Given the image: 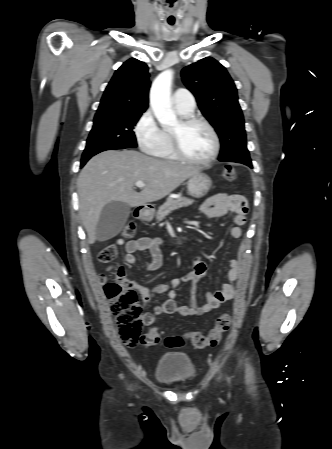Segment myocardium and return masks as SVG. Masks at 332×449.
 <instances>
[{"mask_svg":"<svg viewBox=\"0 0 332 449\" xmlns=\"http://www.w3.org/2000/svg\"><path fill=\"white\" fill-rule=\"evenodd\" d=\"M181 126H189L192 124H201L207 128L209 131L212 140H213V150L210 156L205 159H195L188 156L182 149L180 140L177 133L170 132L171 146L175 156L187 163L196 164V165H208L211 164L219 155L220 152V139L215 130V128L204 118L196 117V116H184L180 119Z\"/></svg>","mask_w":332,"mask_h":449,"instance_id":"myocardium-1","label":"myocardium"}]
</instances>
